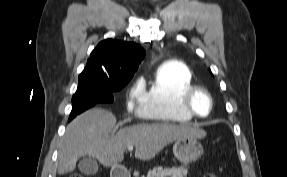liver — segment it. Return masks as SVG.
<instances>
[{
	"label": "liver",
	"mask_w": 287,
	"mask_h": 177,
	"mask_svg": "<svg viewBox=\"0 0 287 177\" xmlns=\"http://www.w3.org/2000/svg\"><path fill=\"white\" fill-rule=\"evenodd\" d=\"M115 125V116L104 109H91L77 116L66 127L59 148L58 174L73 172L77 161L85 155L110 167L123 161L128 146H135L136 158L150 160L179 138L206 136L204 130L187 124L153 123L128 126L109 137Z\"/></svg>",
	"instance_id": "liver-1"
}]
</instances>
